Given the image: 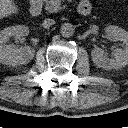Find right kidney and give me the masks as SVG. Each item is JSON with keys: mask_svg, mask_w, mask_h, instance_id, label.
I'll return each mask as SVG.
<instances>
[{"mask_svg": "<svg viewBox=\"0 0 128 128\" xmlns=\"http://www.w3.org/2000/svg\"><path fill=\"white\" fill-rule=\"evenodd\" d=\"M29 29L24 25L7 27L0 32V62L10 66H17L29 63L35 50L29 46L17 48L13 44H7L11 37L19 39L27 36Z\"/></svg>", "mask_w": 128, "mask_h": 128, "instance_id": "obj_1", "label": "right kidney"}]
</instances>
